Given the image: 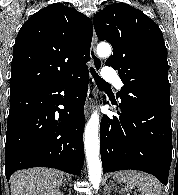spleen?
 I'll list each match as a JSON object with an SVG mask.
<instances>
[{
    "label": "spleen",
    "instance_id": "spleen-1",
    "mask_svg": "<svg viewBox=\"0 0 178 195\" xmlns=\"http://www.w3.org/2000/svg\"><path fill=\"white\" fill-rule=\"evenodd\" d=\"M118 182L126 183L129 186H136L141 195H161V184L153 176L139 171H121L115 174Z\"/></svg>",
    "mask_w": 178,
    "mask_h": 195
}]
</instances>
